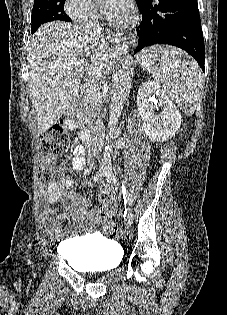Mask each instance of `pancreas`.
<instances>
[{"label": "pancreas", "mask_w": 227, "mask_h": 315, "mask_svg": "<svg viewBox=\"0 0 227 315\" xmlns=\"http://www.w3.org/2000/svg\"><path fill=\"white\" fill-rule=\"evenodd\" d=\"M100 98V93L97 91L94 95H90L89 93L84 99V107L80 111V122L81 125L91 126L92 119L94 117V110L96 106V102Z\"/></svg>", "instance_id": "pancreas-1"}]
</instances>
